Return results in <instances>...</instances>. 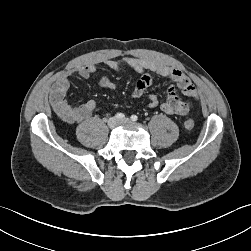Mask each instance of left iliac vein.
<instances>
[{"instance_id":"obj_1","label":"left iliac vein","mask_w":251,"mask_h":251,"mask_svg":"<svg viewBox=\"0 0 251 251\" xmlns=\"http://www.w3.org/2000/svg\"><path fill=\"white\" fill-rule=\"evenodd\" d=\"M128 122H130V120L128 119V118H124V119H122L121 121H120V123H128Z\"/></svg>"}]
</instances>
